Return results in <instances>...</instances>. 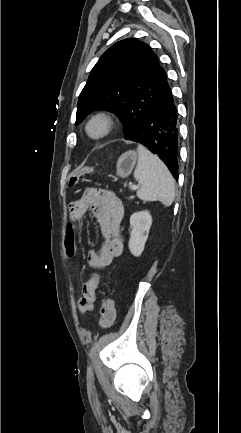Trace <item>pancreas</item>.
<instances>
[{
  "label": "pancreas",
  "instance_id": "pancreas-1",
  "mask_svg": "<svg viewBox=\"0 0 241 433\" xmlns=\"http://www.w3.org/2000/svg\"><path fill=\"white\" fill-rule=\"evenodd\" d=\"M129 199H133V196L129 197Z\"/></svg>",
  "mask_w": 241,
  "mask_h": 433
}]
</instances>
